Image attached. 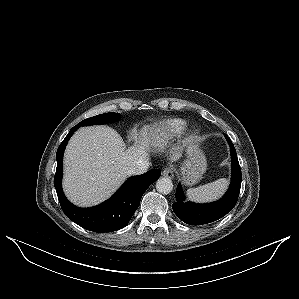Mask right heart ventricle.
I'll return each instance as SVG.
<instances>
[{
  "instance_id": "1",
  "label": "right heart ventricle",
  "mask_w": 299,
  "mask_h": 299,
  "mask_svg": "<svg viewBox=\"0 0 299 299\" xmlns=\"http://www.w3.org/2000/svg\"><path fill=\"white\" fill-rule=\"evenodd\" d=\"M187 124V121L181 118L167 119L158 123L151 135V144L158 149L166 147L183 133Z\"/></svg>"
}]
</instances>
